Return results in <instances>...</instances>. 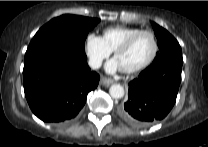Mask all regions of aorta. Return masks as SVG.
Listing matches in <instances>:
<instances>
[{
  "label": "aorta",
  "mask_w": 208,
  "mask_h": 147,
  "mask_svg": "<svg viewBox=\"0 0 208 147\" xmlns=\"http://www.w3.org/2000/svg\"><path fill=\"white\" fill-rule=\"evenodd\" d=\"M109 94L114 99H120L124 96V88L120 84H113L109 89Z\"/></svg>",
  "instance_id": "obj_1"
}]
</instances>
